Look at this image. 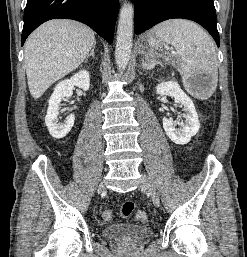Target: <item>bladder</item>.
<instances>
[{"label": "bladder", "mask_w": 247, "mask_h": 257, "mask_svg": "<svg viewBox=\"0 0 247 257\" xmlns=\"http://www.w3.org/2000/svg\"><path fill=\"white\" fill-rule=\"evenodd\" d=\"M102 235L107 240L136 244L149 239L153 235V230L149 226L113 224L104 227Z\"/></svg>", "instance_id": "1"}]
</instances>
